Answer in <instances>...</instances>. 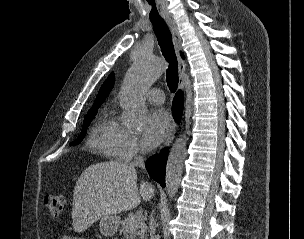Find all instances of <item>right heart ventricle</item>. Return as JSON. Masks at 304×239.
Returning a JSON list of instances; mask_svg holds the SVG:
<instances>
[{
	"label": "right heart ventricle",
	"mask_w": 304,
	"mask_h": 239,
	"mask_svg": "<svg viewBox=\"0 0 304 239\" xmlns=\"http://www.w3.org/2000/svg\"><path fill=\"white\" fill-rule=\"evenodd\" d=\"M119 128L110 116H102L91 128L89 146L107 156L115 157L113 142Z\"/></svg>",
	"instance_id": "e07e8e85"
}]
</instances>
